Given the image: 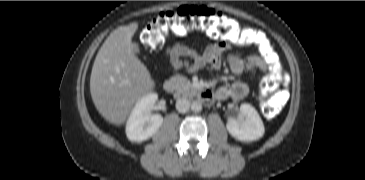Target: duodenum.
Listing matches in <instances>:
<instances>
[{"label":"duodenum","instance_id":"duodenum-1","mask_svg":"<svg viewBox=\"0 0 365 180\" xmlns=\"http://www.w3.org/2000/svg\"><path fill=\"white\" fill-rule=\"evenodd\" d=\"M163 89L164 91L170 93L175 89L174 81L167 79L163 82ZM198 97L201 102L203 103H210L213 100V93L208 89H199L198 90Z\"/></svg>","mask_w":365,"mask_h":180}]
</instances>
